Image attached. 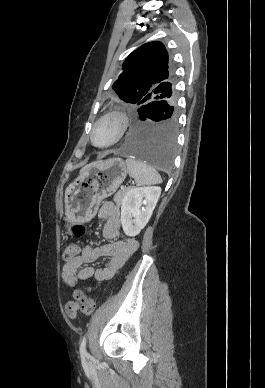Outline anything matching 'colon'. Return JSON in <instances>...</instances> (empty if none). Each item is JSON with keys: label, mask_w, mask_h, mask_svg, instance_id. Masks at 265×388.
Returning a JSON list of instances; mask_svg holds the SVG:
<instances>
[{"label": "colon", "mask_w": 265, "mask_h": 388, "mask_svg": "<svg viewBox=\"0 0 265 388\" xmlns=\"http://www.w3.org/2000/svg\"><path fill=\"white\" fill-rule=\"evenodd\" d=\"M72 232L75 236H82L85 233V227L83 225H74ZM80 249L76 244H69L64 250L63 258L67 262L74 260L79 255ZM73 299L79 305L82 312L90 314L94 310V302L87 297L82 291L75 290L73 292Z\"/></svg>", "instance_id": "obj_1"}]
</instances>
